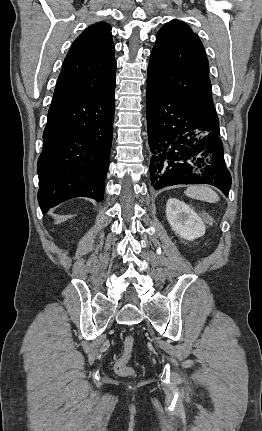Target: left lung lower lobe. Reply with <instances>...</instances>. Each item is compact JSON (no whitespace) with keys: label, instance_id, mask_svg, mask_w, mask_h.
I'll list each match as a JSON object with an SVG mask.
<instances>
[{"label":"left lung lower lobe","instance_id":"left-lung-lower-lobe-1","mask_svg":"<svg viewBox=\"0 0 262 431\" xmlns=\"http://www.w3.org/2000/svg\"><path fill=\"white\" fill-rule=\"evenodd\" d=\"M146 112L152 187L210 184L227 196L231 176L219 124L205 122L191 107L148 82Z\"/></svg>","mask_w":262,"mask_h":431}]
</instances>
